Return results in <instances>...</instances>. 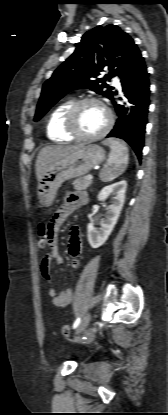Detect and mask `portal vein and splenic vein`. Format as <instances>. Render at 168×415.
I'll list each match as a JSON object with an SVG mask.
<instances>
[{"label": "portal vein and splenic vein", "instance_id": "1", "mask_svg": "<svg viewBox=\"0 0 168 415\" xmlns=\"http://www.w3.org/2000/svg\"><path fill=\"white\" fill-rule=\"evenodd\" d=\"M92 178H93V176H92V175H88V176H87V179H88V180H92Z\"/></svg>", "mask_w": 168, "mask_h": 415}]
</instances>
